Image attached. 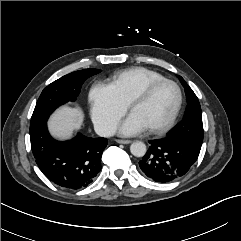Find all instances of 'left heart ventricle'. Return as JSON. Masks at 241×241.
I'll return each instance as SVG.
<instances>
[{
    "label": "left heart ventricle",
    "instance_id": "left-heart-ventricle-1",
    "mask_svg": "<svg viewBox=\"0 0 241 241\" xmlns=\"http://www.w3.org/2000/svg\"><path fill=\"white\" fill-rule=\"evenodd\" d=\"M177 98L176 88L171 84H163L156 88L146 101L137 104L132 113L148 128L161 126L172 116Z\"/></svg>",
    "mask_w": 241,
    "mask_h": 241
}]
</instances>
